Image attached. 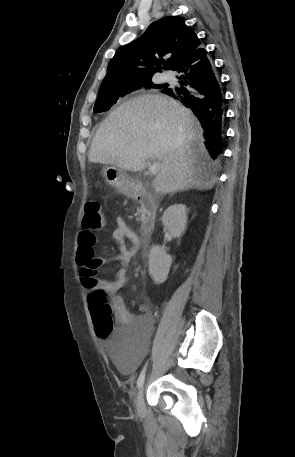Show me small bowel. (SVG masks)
Instances as JSON below:
<instances>
[{
	"label": "small bowel",
	"instance_id": "small-bowel-1",
	"mask_svg": "<svg viewBox=\"0 0 295 457\" xmlns=\"http://www.w3.org/2000/svg\"><path fill=\"white\" fill-rule=\"evenodd\" d=\"M111 235L117 242L120 253L113 258H102L94 255V245L96 243V235L94 232L88 229L80 231L77 249L78 261L80 258L86 259L89 263L93 264L95 270L109 261H116L119 263V268L114 280L97 282L93 279L91 283H87L83 279V282L88 288L98 285L113 294L112 307L118 321L114 338H126L134 332L148 334L153 328V313L150 306L144 304L142 305V313L134 314L127 309L123 298L119 295V291L129 280L127 265L143 247L140 236L136 234L121 217L116 218V226L112 230Z\"/></svg>",
	"mask_w": 295,
	"mask_h": 457
}]
</instances>
